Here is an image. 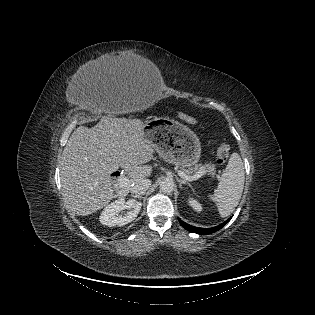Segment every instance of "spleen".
I'll return each mask as SVG.
<instances>
[{
  "label": "spleen",
  "instance_id": "obj_1",
  "mask_svg": "<svg viewBox=\"0 0 315 315\" xmlns=\"http://www.w3.org/2000/svg\"><path fill=\"white\" fill-rule=\"evenodd\" d=\"M245 181L244 165L237 153L230 156L223 171L217 189L209 194L210 200L216 203L221 217L229 216L238 205Z\"/></svg>",
  "mask_w": 315,
  "mask_h": 315
}]
</instances>
